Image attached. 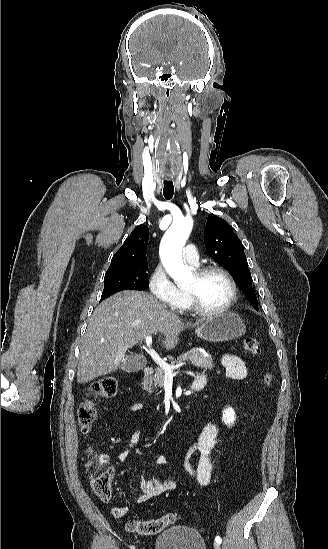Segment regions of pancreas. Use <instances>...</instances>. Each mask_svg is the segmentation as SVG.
<instances>
[{"mask_svg": "<svg viewBox=\"0 0 328 549\" xmlns=\"http://www.w3.org/2000/svg\"><path fill=\"white\" fill-rule=\"evenodd\" d=\"M182 361H191V365L195 367H201V369H213V359L212 357H206L200 351H189V353H183L180 357H177L176 361H171V367L173 365H179ZM165 379V371L158 367L155 369L154 377H145L143 379V389L148 391V393H154V387H163Z\"/></svg>", "mask_w": 328, "mask_h": 549, "instance_id": "pancreas-1", "label": "pancreas"}]
</instances>
